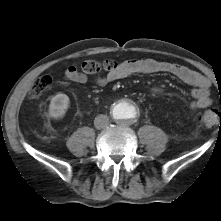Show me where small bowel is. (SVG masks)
<instances>
[{"instance_id": "c3829d8e", "label": "small bowel", "mask_w": 221, "mask_h": 221, "mask_svg": "<svg viewBox=\"0 0 221 221\" xmlns=\"http://www.w3.org/2000/svg\"><path fill=\"white\" fill-rule=\"evenodd\" d=\"M154 73L169 74L193 86L194 89L191 92L193 98L191 107L193 109H204L211 106L210 80L188 67L175 63L161 62L152 59H128L120 63L114 71L109 72L105 76L98 77L95 82L99 86H105L110 82L131 75ZM64 78L66 81L74 83H85L87 81V76L72 66L65 71ZM154 91L160 92L161 89L155 88Z\"/></svg>"}]
</instances>
